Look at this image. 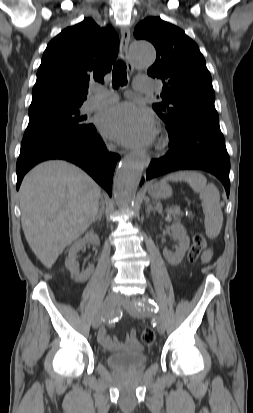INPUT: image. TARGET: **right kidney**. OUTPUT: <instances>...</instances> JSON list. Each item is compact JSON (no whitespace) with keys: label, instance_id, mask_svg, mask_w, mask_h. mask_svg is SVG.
Listing matches in <instances>:
<instances>
[{"label":"right kidney","instance_id":"obj_1","mask_svg":"<svg viewBox=\"0 0 253 413\" xmlns=\"http://www.w3.org/2000/svg\"><path fill=\"white\" fill-rule=\"evenodd\" d=\"M87 243L93 245H99L100 240L96 233L89 231L85 236L77 241L70 247L68 257L66 258L65 265L71 273V276L78 282H85L94 270L93 266H89L85 271L80 272L79 263L77 261V254L81 249L85 247Z\"/></svg>","mask_w":253,"mask_h":413}]
</instances>
